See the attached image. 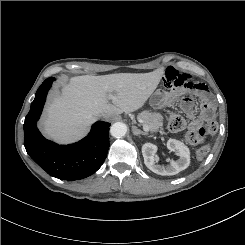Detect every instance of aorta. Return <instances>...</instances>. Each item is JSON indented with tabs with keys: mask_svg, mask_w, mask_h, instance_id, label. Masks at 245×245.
I'll list each match as a JSON object with an SVG mask.
<instances>
[{
	"mask_svg": "<svg viewBox=\"0 0 245 245\" xmlns=\"http://www.w3.org/2000/svg\"><path fill=\"white\" fill-rule=\"evenodd\" d=\"M127 126L122 122H116L110 127V134L115 138H121L126 135Z\"/></svg>",
	"mask_w": 245,
	"mask_h": 245,
	"instance_id": "762f6f07",
	"label": "aorta"
}]
</instances>
